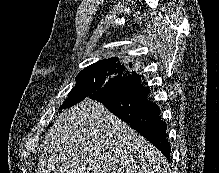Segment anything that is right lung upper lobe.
Here are the masks:
<instances>
[{"label": "right lung upper lobe", "mask_w": 219, "mask_h": 173, "mask_svg": "<svg viewBox=\"0 0 219 173\" xmlns=\"http://www.w3.org/2000/svg\"><path fill=\"white\" fill-rule=\"evenodd\" d=\"M116 60L119 62V59H118V58L112 57V58H110V59L100 60V61H98L97 63H95V64H93V65H91V66H99V65H102V64H104V63L111 62V61H116ZM129 65L132 67V64H131V63H129Z\"/></svg>", "instance_id": "1"}]
</instances>
